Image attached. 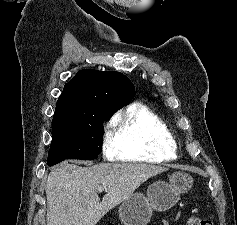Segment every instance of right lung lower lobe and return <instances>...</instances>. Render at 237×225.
Listing matches in <instances>:
<instances>
[{"instance_id": "98d812e1", "label": "right lung lower lobe", "mask_w": 237, "mask_h": 225, "mask_svg": "<svg viewBox=\"0 0 237 225\" xmlns=\"http://www.w3.org/2000/svg\"><path fill=\"white\" fill-rule=\"evenodd\" d=\"M65 159H47V163L49 166L55 165Z\"/></svg>"}]
</instances>
